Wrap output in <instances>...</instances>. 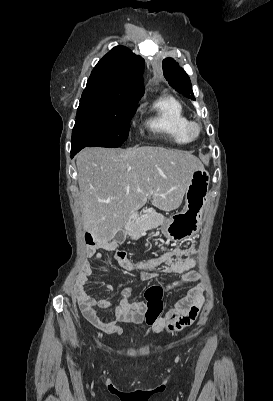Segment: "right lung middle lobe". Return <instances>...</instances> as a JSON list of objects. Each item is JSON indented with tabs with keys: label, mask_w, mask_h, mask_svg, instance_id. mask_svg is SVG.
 <instances>
[{
	"label": "right lung middle lobe",
	"mask_w": 273,
	"mask_h": 401,
	"mask_svg": "<svg viewBox=\"0 0 273 401\" xmlns=\"http://www.w3.org/2000/svg\"><path fill=\"white\" fill-rule=\"evenodd\" d=\"M136 105L81 98L72 131V147H119L127 139Z\"/></svg>",
	"instance_id": "1"
}]
</instances>
